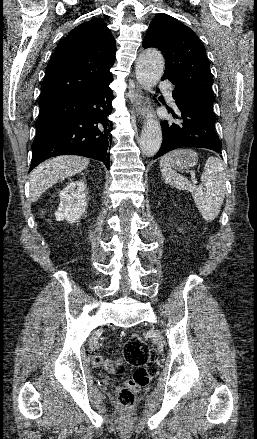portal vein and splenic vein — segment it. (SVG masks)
<instances>
[{
	"instance_id": "portal-vein-and-splenic-vein-1",
	"label": "portal vein and splenic vein",
	"mask_w": 257,
	"mask_h": 439,
	"mask_svg": "<svg viewBox=\"0 0 257 439\" xmlns=\"http://www.w3.org/2000/svg\"><path fill=\"white\" fill-rule=\"evenodd\" d=\"M192 182H193V184L197 183V180L195 179V177H192Z\"/></svg>"
}]
</instances>
